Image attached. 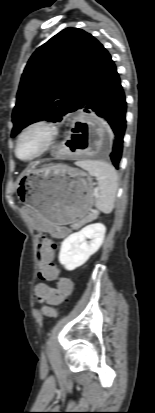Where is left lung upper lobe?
Returning <instances> with one entry per match:
<instances>
[{
	"label": "left lung upper lobe",
	"mask_w": 155,
	"mask_h": 413,
	"mask_svg": "<svg viewBox=\"0 0 155 413\" xmlns=\"http://www.w3.org/2000/svg\"><path fill=\"white\" fill-rule=\"evenodd\" d=\"M107 54L97 39L78 28H66L40 46L21 77L11 137L36 121H61L80 109Z\"/></svg>",
	"instance_id": "left-lung-upper-lobe-1"
}]
</instances>
